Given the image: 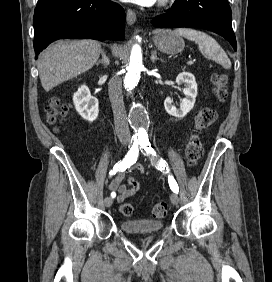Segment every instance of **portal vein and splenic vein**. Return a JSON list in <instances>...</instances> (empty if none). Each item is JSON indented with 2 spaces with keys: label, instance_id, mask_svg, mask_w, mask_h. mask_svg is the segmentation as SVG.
I'll list each match as a JSON object with an SVG mask.
<instances>
[{
  "label": "portal vein and splenic vein",
  "instance_id": "obj_1",
  "mask_svg": "<svg viewBox=\"0 0 272 282\" xmlns=\"http://www.w3.org/2000/svg\"><path fill=\"white\" fill-rule=\"evenodd\" d=\"M195 62V59H191V60H189L188 62H187V64H189V65H191V64H193Z\"/></svg>",
  "mask_w": 272,
  "mask_h": 282
}]
</instances>
